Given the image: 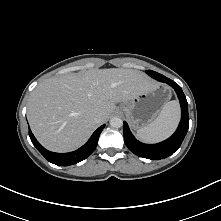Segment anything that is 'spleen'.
<instances>
[{
	"label": "spleen",
	"instance_id": "spleen-1",
	"mask_svg": "<svg viewBox=\"0 0 221 221\" xmlns=\"http://www.w3.org/2000/svg\"><path fill=\"white\" fill-rule=\"evenodd\" d=\"M180 117L177 101L167 102L159 115L148 125L137 131V137L144 142L153 143L170 136L175 130Z\"/></svg>",
	"mask_w": 221,
	"mask_h": 221
}]
</instances>
